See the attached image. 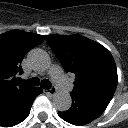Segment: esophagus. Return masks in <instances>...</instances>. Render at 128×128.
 <instances>
[{
	"label": "esophagus",
	"mask_w": 128,
	"mask_h": 128,
	"mask_svg": "<svg viewBox=\"0 0 128 128\" xmlns=\"http://www.w3.org/2000/svg\"><path fill=\"white\" fill-rule=\"evenodd\" d=\"M57 90L55 87H52L48 90H46V94L50 95V96H54L56 94Z\"/></svg>",
	"instance_id": "34e87169"
}]
</instances>
